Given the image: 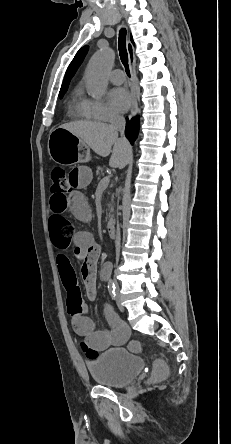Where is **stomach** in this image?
<instances>
[{
	"instance_id": "stomach-1",
	"label": "stomach",
	"mask_w": 231,
	"mask_h": 444,
	"mask_svg": "<svg viewBox=\"0 0 231 444\" xmlns=\"http://www.w3.org/2000/svg\"><path fill=\"white\" fill-rule=\"evenodd\" d=\"M48 152L59 164L84 163L90 160L89 147L64 128H56L49 135Z\"/></svg>"
}]
</instances>
